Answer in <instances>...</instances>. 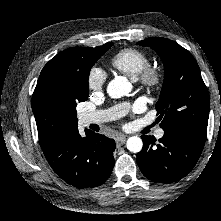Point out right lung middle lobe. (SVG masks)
<instances>
[{
	"instance_id": "right-lung-middle-lobe-1",
	"label": "right lung middle lobe",
	"mask_w": 221,
	"mask_h": 221,
	"mask_svg": "<svg viewBox=\"0 0 221 221\" xmlns=\"http://www.w3.org/2000/svg\"><path fill=\"white\" fill-rule=\"evenodd\" d=\"M113 43L102 45L99 50L91 53L83 63L71 71L69 94L66 96L73 109L76 110L78 102L87 100L89 94L88 77L91 67L109 49Z\"/></svg>"
}]
</instances>
